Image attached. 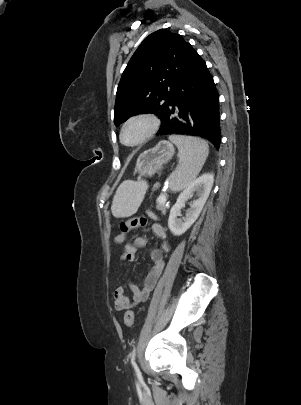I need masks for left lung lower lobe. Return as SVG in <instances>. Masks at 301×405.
I'll return each mask as SVG.
<instances>
[{
	"instance_id": "1",
	"label": "left lung lower lobe",
	"mask_w": 301,
	"mask_h": 405,
	"mask_svg": "<svg viewBox=\"0 0 301 405\" xmlns=\"http://www.w3.org/2000/svg\"><path fill=\"white\" fill-rule=\"evenodd\" d=\"M157 135H191L221 143L219 95L205 61L195 51Z\"/></svg>"
}]
</instances>
